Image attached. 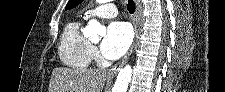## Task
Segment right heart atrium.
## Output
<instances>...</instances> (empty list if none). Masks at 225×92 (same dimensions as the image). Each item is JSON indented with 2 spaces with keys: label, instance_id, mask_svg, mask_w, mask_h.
Listing matches in <instances>:
<instances>
[{
  "label": "right heart atrium",
  "instance_id": "obj_1",
  "mask_svg": "<svg viewBox=\"0 0 225 92\" xmlns=\"http://www.w3.org/2000/svg\"><path fill=\"white\" fill-rule=\"evenodd\" d=\"M93 59H95L97 61L99 59L98 52H97L96 48H93Z\"/></svg>",
  "mask_w": 225,
  "mask_h": 92
}]
</instances>
